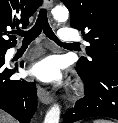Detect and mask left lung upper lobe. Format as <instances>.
Instances as JSON below:
<instances>
[{"mask_svg":"<svg viewBox=\"0 0 118 123\" xmlns=\"http://www.w3.org/2000/svg\"><path fill=\"white\" fill-rule=\"evenodd\" d=\"M71 13L70 26L81 30L91 61L83 58L77 67L88 74L105 64H118V1L61 0Z\"/></svg>","mask_w":118,"mask_h":123,"instance_id":"5c2ea615","label":"left lung upper lobe"}]
</instances>
